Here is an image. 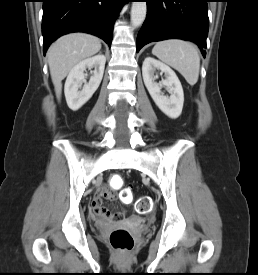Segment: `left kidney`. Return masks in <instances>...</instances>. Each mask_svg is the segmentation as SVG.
<instances>
[{"instance_id": "5707ae66", "label": "left kidney", "mask_w": 258, "mask_h": 275, "mask_svg": "<svg viewBox=\"0 0 258 275\" xmlns=\"http://www.w3.org/2000/svg\"><path fill=\"white\" fill-rule=\"evenodd\" d=\"M156 70H160L166 77L160 83L154 80ZM142 75L144 84L159 109L169 118H178L183 108L184 93L176 73L168 65L147 57L142 65ZM163 86L169 88L170 96L164 95L161 91Z\"/></svg>"}]
</instances>
